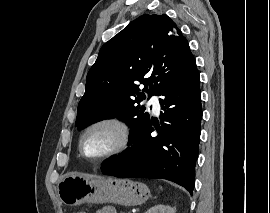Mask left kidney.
I'll use <instances>...</instances> for the list:
<instances>
[{
  "instance_id": "left-kidney-1",
  "label": "left kidney",
  "mask_w": 270,
  "mask_h": 213,
  "mask_svg": "<svg viewBox=\"0 0 270 213\" xmlns=\"http://www.w3.org/2000/svg\"><path fill=\"white\" fill-rule=\"evenodd\" d=\"M146 213H175V209L169 205L158 204L147 210Z\"/></svg>"
}]
</instances>
